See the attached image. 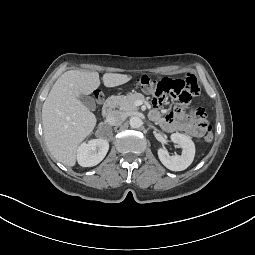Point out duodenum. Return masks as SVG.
I'll return each mask as SVG.
<instances>
[{"label":"duodenum","instance_id":"obj_1","mask_svg":"<svg viewBox=\"0 0 255 255\" xmlns=\"http://www.w3.org/2000/svg\"><path fill=\"white\" fill-rule=\"evenodd\" d=\"M113 109H114V99L107 98L102 107L103 116L105 117L109 116L113 112Z\"/></svg>","mask_w":255,"mask_h":255}]
</instances>
